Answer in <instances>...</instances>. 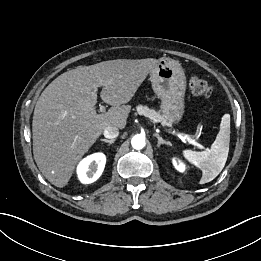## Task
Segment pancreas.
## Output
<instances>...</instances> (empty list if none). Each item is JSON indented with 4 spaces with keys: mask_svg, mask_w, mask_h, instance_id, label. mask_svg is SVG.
<instances>
[{
    "mask_svg": "<svg viewBox=\"0 0 261 261\" xmlns=\"http://www.w3.org/2000/svg\"><path fill=\"white\" fill-rule=\"evenodd\" d=\"M137 113L140 115H144L155 122H160L164 126H171L172 122L166 116L161 115L160 113L156 112L153 109H149L147 106L139 105L136 108Z\"/></svg>",
    "mask_w": 261,
    "mask_h": 261,
    "instance_id": "obj_1",
    "label": "pancreas"
}]
</instances>
